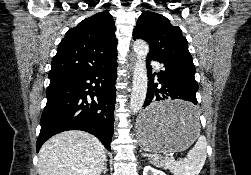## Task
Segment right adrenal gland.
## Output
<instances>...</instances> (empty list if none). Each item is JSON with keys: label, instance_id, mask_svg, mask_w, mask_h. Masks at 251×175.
Here are the masks:
<instances>
[{"label": "right adrenal gland", "instance_id": "right-adrenal-gland-1", "mask_svg": "<svg viewBox=\"0 0 251 175\" xmlns=\"http://www.w3.org/2000/svg\"><path fill=\"white\" fill-rule=\"evenodd\" d=\"M108 169H107V161H105L104 163V167H102V173H107Z\"/></svg>", "mask_w": 251, "mask_h": 175}]
</instances>
